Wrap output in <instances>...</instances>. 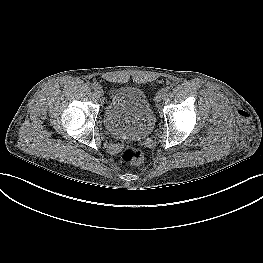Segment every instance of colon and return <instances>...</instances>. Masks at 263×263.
I'll use <instances>...</instances> for the list:
<instances>
[{"label":"colon","instance_id":"colon-1","mask_svg":"<svg viewBox=\"0 0 263 263\" xmlns=\"http://www.w3.org/2000/svg\"><path fill=\"white\" fill-rule=\"evenodd\" d=\"M121 156L123 160L133 164H140L143 161V154L141 150L135 147L125 148Z\"/></svg>","mask_w":263,"mask_h":263}]
</instances>
